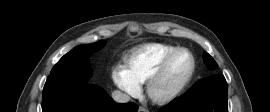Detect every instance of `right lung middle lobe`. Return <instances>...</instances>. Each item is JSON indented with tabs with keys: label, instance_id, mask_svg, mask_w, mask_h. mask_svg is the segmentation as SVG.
Returning a JSON list of instances; mask_svg holds the SVG:
<instances>
[{
	"label": "right lung middle lobe",
	"instance_id": "dd1d6c3e",
	"mask_svg": "<svg viewBox=\"0 0 270 112\" xmlns=\"http://www.w3.org/2000/svg\"><path fill=\"white\" fill-rule=\"evenodd\" d=\"M105 41H98L89 45H80L65 54L53 67L47 78L48 82H82L90 76L88 65L89 56L102 48Z\"/></svg>",
	"mask_w": 270,
	"mask_h": 112
}]
</instances>
